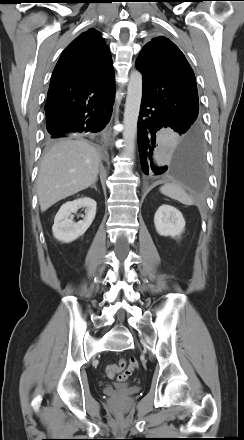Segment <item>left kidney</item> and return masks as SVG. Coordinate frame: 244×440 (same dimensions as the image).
Segmentation results:
<instances>
[{
  "instance_id": "5707ae66",
  "label": "left kidney",
  "mask_w": 244,
  "mask_h": 440,
  "mask_svg": "<svg viewBox=\"0 0 244 440\" xmlns=\"http://www.w3.org/2000/svg\"><path fill=\"white\" fill-rule=\"evenodd\" d=\"M156 231L161 236H180L185 229L182 213L170 205H162L154 216Z\"/></svg>"
}]
</instances>
